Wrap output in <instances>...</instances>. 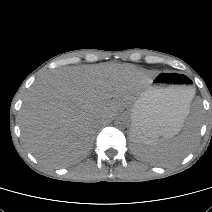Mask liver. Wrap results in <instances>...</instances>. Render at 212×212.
Instances as JSON below:
<instances>
[{"label": "liver", "instance_id": "1", "mask_svg": "<svg viewBox=\"0 0 212 212\" xmlns=\"http://www.w3.org/2000/svg\"><path fill=\"white\" fill-rule=\"evenodd\" d=\"M153 75L131 64L65 67L37 79L19 116L25 147L48 166L83 158L97 125L130 106Z\"/></svg>", "mask_w": 212, "mask_h": 212}]
</instances>
